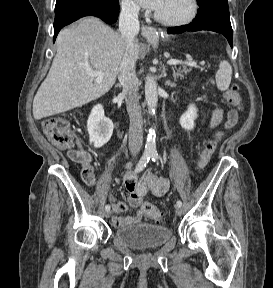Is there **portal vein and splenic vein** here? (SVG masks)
<instances>
[{"label":"portal vein and splenic vein","mask_w":273,"mask_h":288,"mask_svg":"<svg viewBox=\"0 0 273 288\" xmlns=\"http://www.w3.org/2000/svg\"><path fill=\"white\" fill-rule=\"evenodd\" d=\"M179 63H182V62L178 61V60H173V59H171L167 62L168 65H177ZM183 64H186L190 67H197V63H195V62H183ZM89 76L95 77L96 82H101L103 77H104V73L100 72V71H91V72H89Z\"/></svg>","instance_id":"portal-vein-and-splenic-vein-1"}]
</instances>
